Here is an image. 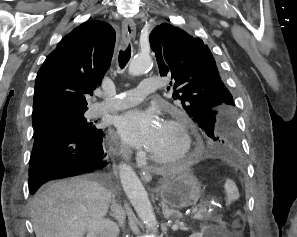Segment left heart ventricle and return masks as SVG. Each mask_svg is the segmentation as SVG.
<instances>
[{
    "mask_svg": "<svg viewBox=\"0 0 297 237\" xmlns=\"http://www.w3.org/2000/svg\"><path fill=\"white\" fill-rule=\"evenodd\" d=\"M180 148V135L174 129L163 123L159 136L149 152L159 157H171L177 154Z\"/></svg>",
    "mask_w": 297,
    "mask_h": 237,
    "instance_id": "obj_1",
    "label": "left heart ventricle"
}]
</instances>
